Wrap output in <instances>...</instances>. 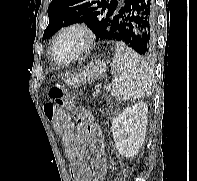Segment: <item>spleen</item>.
<instances>
[{
    "instance_id": "3e777b00",
    "label": "spleen",
    "mask_w": 197,
    "mask_h": 181,
    "mask_svg": "<svg viewBox=\"0 0 197 181\" xmlns=\"http://www.w3.org/2000/svg\"><path fill=\"white\" fill-rule=\"evenodd\" d=\"M112 96L117 101L141 99L152 94L154 74L148 64L123 42L115 45L111 63Z\"/></svg>"
}]
</instances>
